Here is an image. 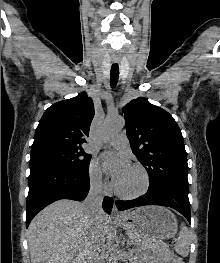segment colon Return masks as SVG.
I'll return each instance as SVG.
<instances>
[{
    "label": "colon",
    "instance_id": "5ec220e1",
    "mask_svg": "<svg viewBox=\"0 0 220 263\" xmlns=\"http://www.w3.org/2000/svg\"><path fill=\"white\" fill-rule=\"evenodd\" d=\"M172 263H185L181 257H174Z\"/></svg>",
    "mask_w": 220,
    "mask_h": 263
}]
</instances>
